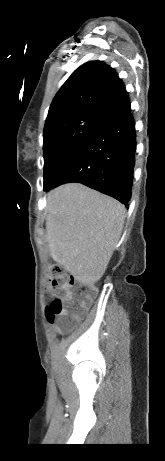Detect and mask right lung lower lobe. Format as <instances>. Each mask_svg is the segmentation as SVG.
<instances>
[{
    "instance_id": "98d812e1",
    "label": "right lung lower lobe",
    "mask_w": 165,
    "mask_h": 461,
    "mask_svg": "<svg viewBox=\"0 0 165 461\" xmlns=\"http://www.w3.org/2000/svg\"><path fill=\"white\" fill-rule=\"evenodd\" d=\"M135 154V122L129 106L103 120L62 164L44 190L79 182L128 207Z\"/></svg>"
}]
</instances>
